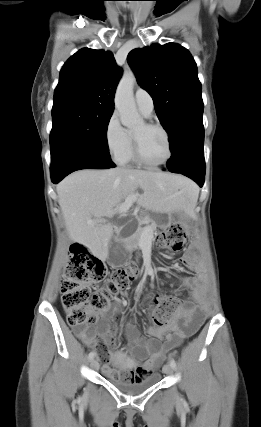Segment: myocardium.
Wrapping results in <instances>:
<instances>
[{"label":"myocardium","instance_id":"1","mask_svg":"<svg viewBox=\"0 0 261 427\" xmlns=\"http://www.w3.org/2000/svg\"><path fill=\"white\" fill-rule=\"evenodd\" d=\"M144 125L147 128H150V129H158V130H160L164 134V136L166 138L167 146H168V155L165 158V160H163L160 163H150V162L146 161L145 158L142 156L138 138H137V136L134 133H132V143H133V155H134V158L137 161V163H139L140 165H142L144 167H147V168H160V167L166 165L170 161V159L172 158V156H173V146H172V142H171V138H170L169 132L167 131V129L163 125H161L159 123L145 122Z\"/></svg>","mask_w":261,"mask_h":427}]
</instances>
